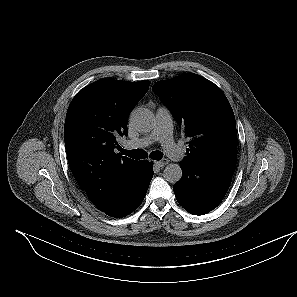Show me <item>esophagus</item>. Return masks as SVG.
<instances>
[{
	"label": "esophagus",
	"instance_id": "34e87169",
	"mask_svg": "<svg viewBox=\"0 0 297 297\" xmlns=\"http://www.w3.org/2000/svg\"><path fill=\"white\" fill-rule=\"evenodd\" d=\"M169 163V160L168 159H162L160 161H155V164L158 166V167H164L165 165H167Z\"/></svg>",
	"mask_w": 297,
	"mask_h": 297
}]
</instances>
